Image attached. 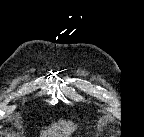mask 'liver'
Masks as SVG:
<instances>
[{"mask_svg":"<svg viewBox=\"0 0 144 137\" xmlns=\"http://www.w3.org/2000/svg\"><path fill=\"white\" fill-rule=\"evenodd\" d=\"M75 129L76 125L72 122L59 120L43 132V137H69Z\"/></svg>","mask_w":144,"mask_h":137,"instance_id":"1","label":"liver"}]
</instances>
